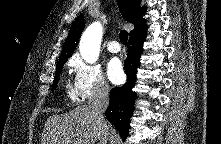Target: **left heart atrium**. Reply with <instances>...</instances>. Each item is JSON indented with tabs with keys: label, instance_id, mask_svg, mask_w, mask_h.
<instances>
[{
	"label": "left heart atrium",
	"instance_id": "1",
	"mask_svg": "<svg viewBox=\"0 0 221 144\" xmlns=\"http://www.w3.org/2000/svg\"><path fill=\"white\" fill-rule=\"evenodd\" d=\"M107 74L109 79L115 84H118L123 80V66L119 59L113 58L109 61L107 65Z\"/></svg>",
	"mask_w": 221,
	"mask_h": 144
}]
</instances>
